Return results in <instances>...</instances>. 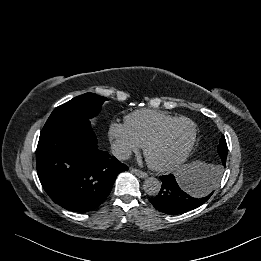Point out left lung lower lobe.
<instances>
[{"mask_svg":"<svg viewBox=\"0 0 261 261\" xmlns=\"http://www.w3.org/2000/svg\"><path fill=\"white\" fill-rule=\"evenodd\" d=\"M225 165L226 159H222ZM221 169L210 168L195 175L160 176L162 188L159 194L149 199L153 206L166 214H181L193 210L204 204L213 194ZM196 193L198 195H195Z\"/></svg>","mask_w":261,"mask_h":261,"instance_id":"1","label":"left lung lower lobe"}]
</instances>
